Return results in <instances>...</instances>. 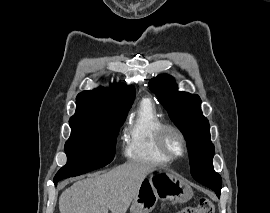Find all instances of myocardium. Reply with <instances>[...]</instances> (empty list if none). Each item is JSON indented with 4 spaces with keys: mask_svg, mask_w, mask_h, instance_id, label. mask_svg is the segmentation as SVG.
<instances>
[{
    "mask_svg": "<svg viewBox=\"0 0 270 213\" xmlns=\"http://www.w3.org/2000/svg\"><path fill=\"white\" fill-rule=\"evenodd\" d=\"M171 133L177 135V137L180 139L182 148L179 153L172 152L168 147L167 138H168V135ZM156 141H157V147L159 151L163 155H165L169 160H176V159L182 158L187 153L186 137L184 133L182 132V130L173 124L164 123L157 132Z\"/></svg>",
    "mask_w": 270,
    "mask_h": 213,
    "instance_id": "1",
    "label": "myocardium"
}]
</instances>
